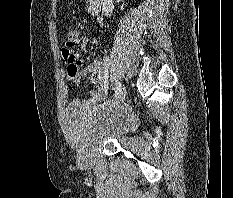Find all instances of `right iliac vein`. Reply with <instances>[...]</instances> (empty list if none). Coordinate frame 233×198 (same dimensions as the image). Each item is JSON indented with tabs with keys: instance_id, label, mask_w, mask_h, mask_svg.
<instances>
[{
	"instance_id": "obj_1",
	"label": "right iliac vein",
	"mask_w": 233,
	"mask_h": 198,
	"mask_svg": "<svg viewBox=\"0 0 233 198\" xmlns=\"http://www.w3.org/2000/svg\"><path fill=\"white\" fill-rule=\"evenodd\" d=\"M125 95H126V91L125 89H123L121 91V93L119 94V96L116 98V100L112 103V107L114 108H117L120 106V104L123 102L124 98H125Z\"/></svg>"
}]
</instances>
